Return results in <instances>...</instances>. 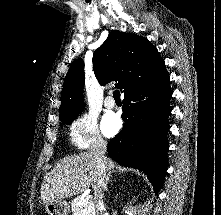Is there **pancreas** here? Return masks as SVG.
Segmentation results:
<instances>
[{"mask_svg": "<svg viewBox=\"0 0 221 215\" xmlns=\"http://www.w3.org/2000/svg\"><path fill=\"white\" fill-rule=\"evenodd\" d=\"M72 215H96L93 202H87L81 200L78 196L71 203Z\"/></svg>", "mask_w": 221, "mask_h": 215, "instance_id": "cf45deb5", "label": "pancreas"}]
</instances>
